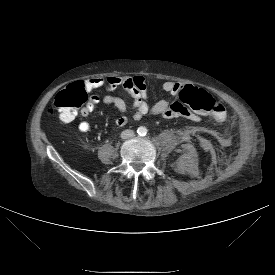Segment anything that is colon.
Returning <instances> with one entry per match:
<instances>
[{
    "label": "colon",
    "mask_w": 275,
    "mask_h": 275,
    "mask_svg": "<svg viewBox=\"0 0 275 275\" xmlns=\"http://www.w3.org/2000/svg\"><path fill=\"white\" fill-rule=\"evenodd\" d=\"M179 99L196 114L209 115L217 122H223L227 118L225 105L203 89L186 86L180 91ZM87 101L83 85L73 84L56 95L53 105L47 112L51 116L58 114L61 119L69 121L80 109L82 112Z\"/></svg>",
    "instance_id": "5ec220e1"
}]
</instances>
